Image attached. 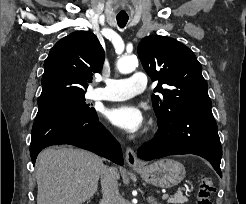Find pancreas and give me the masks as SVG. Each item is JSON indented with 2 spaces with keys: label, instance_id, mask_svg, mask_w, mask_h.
I'll return each instance as SVG.
<instances>
[{
  "label": "pancreas",
  "instance_id": "1",
  "mask_svg": "<svg viewBox=\"0 0 246 204\" xmlns=\"http://www.w3.org/2000/svg\"><path fill=\"white\" fill-rule=\"evenodd\" d=\"M171 204H184L188 202V198L183 195L175 194L169 201Z\"/></svg>",
  "mask_w": 246,
  "mask_h": 204
}]
</instances>
